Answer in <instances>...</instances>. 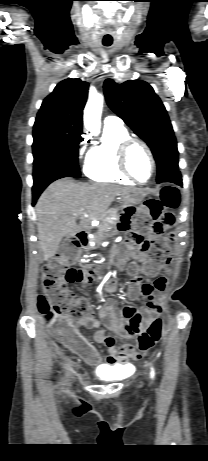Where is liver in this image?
<instances>
[{
  "label": "liver",
  "instance_id": "liver-1",
  "mask_svg": "<svg viewBox=\"0 0 208 461\" xmlns=\"http://www.w3.org/2000/svg\"><path fill=\"white\" fill-rule=\"evenodd\" d=\"M137 190L113 184L87 185L68 178L52 183L36 204L43 260L55 256L63 237L75 236L89 229L93 221L102 220L117 195ZM77 217L80 218L79 224L76 223Z\"/></svg>",
  "mask_w": 208,
  "mask_h": 461
}]
</instances>
